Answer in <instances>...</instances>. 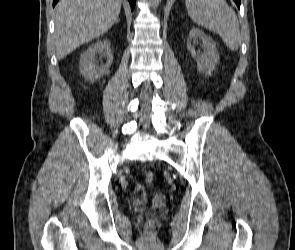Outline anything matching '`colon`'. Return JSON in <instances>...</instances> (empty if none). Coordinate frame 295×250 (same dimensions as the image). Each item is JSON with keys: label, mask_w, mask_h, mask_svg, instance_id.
<instances>
[{"label": "colon", "mask_w": 295, "mask_h": 250, "mask_svg": "<svg viewBox=\"0 0 295 250\" xmlns=\"http://www.w3.org/2000/svg\"><path fill=\"white\" fill-rule=\"evenodd\" d=\"M154 179H155V175L153 172H147L145 174L144 180L147 185H151L153 183Z\"/></svg>", "instance_id": "5ec220e1"}]
</instances>
